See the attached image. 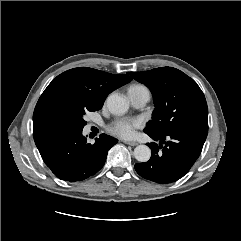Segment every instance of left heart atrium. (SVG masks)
Segmentation results:
<instances>
[{
  "label": "left heart atrium",
  "mask_w": 241,
  "mask_h": 241,
  "mask_svg": "<svg viewBox=\"0 0 241 241\" xmlns=\"http://www.w3.org/2000/svg\"><path fill=\"white\" fill-rule=\"evenodd\" d=\"M141 126L140 119L119 118L109 126V131L116 136L127 139L134 137L136 130Z\"/></svg>",
  "instance_id": "39dd6f15"
}]
</instances>
